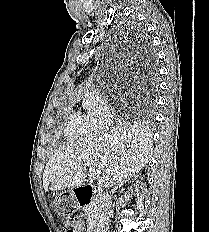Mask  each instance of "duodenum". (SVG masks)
Listing matches in <instances>:
<instances>
[{
	"instance_id": "obj_1",
	"label": "duodenum",
	"mask_w": 209,
	"mask_h": 232,
	"mask_svg": "<svg viewBox=\"0 0 209 232\" xmlns=\"http://www.w3.org/2000/svg\"><path fill=\"white\" fill-rule=\"evenodd\" d=\"M75 196L78 200L80 207H86L94 202L93 190L90 186L80 185L74 189ZM88 232H97L96 225H92Z\"/></svg>"
}]
</instances>
